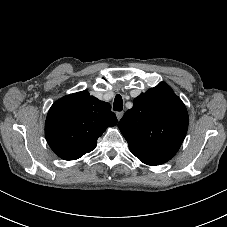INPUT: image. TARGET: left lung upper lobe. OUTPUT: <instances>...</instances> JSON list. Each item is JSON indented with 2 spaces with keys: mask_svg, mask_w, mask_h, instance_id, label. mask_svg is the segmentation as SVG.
I'll return each mask as SVG.
<instances>
[{
  "mask_svg": "<svg viewBox=\"0 0 227 227\" xmlns=\"http://www.w3.org/2000/svg\"><path fill=\"white\" fill-rule=\"evenodd\" d=\"M188 113L181 99L161 82L133 101L118 127L131 152L147 165H160L179 150L188 129Z\"/></svg>",
  "mask_w": 227,
  "mask_h": 227,
  "instance_id": "obj_1",
  "label": "left lung upper lobe"
}]
</instances>
